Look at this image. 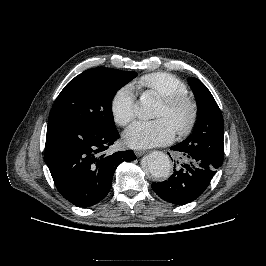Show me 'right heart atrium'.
I'll use <instances>...</instances> for the list:
<instances>
[{
  "label": "right heart atrium",
  "instance_id": "d8ad5b80",
  "mask_svg": "<svg viewBox=\"0 0 266 266\" xmlns=\"http://www.w3.org/2000/svg\"><path fill=\"white\" fill-rule=\"evenodd\" d=\"M136 96L131 86H124L116 91L111 100V111L115 121L125 126L135 117Z\"/></svg>",
  "mask_w": 266,
  "mask_h": 266
}]
</instances>
